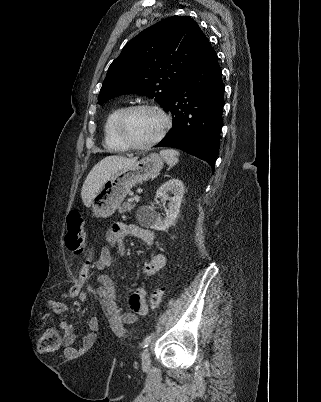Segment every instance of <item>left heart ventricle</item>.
Listing matches in <instances>:
<instances>
[{
	"mask_svg": "<svg viewBox=\"0 0 321 402\" xmlns=\"http://www.w3.org/2000/svg\"><path fill=\"white\" fill-rule=\"evenodd\" d=\"M162 117L151 110H138L129 115L125 124L127 136L137 144L153 140L162 130Z\"/></svg>",
	"mask_w": 321,
	"mask_h": 402,
	"instance_id": "obj_1",
	"label": "left heart ventricle"
}]
</instances>
